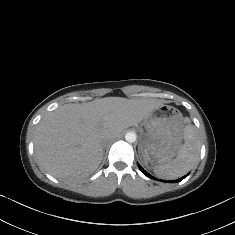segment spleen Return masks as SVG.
Listing matches in <instances>:
<instances>
[{"label": "spleen", "mask_w": 235, "mask_h": 235, "mask_svg": "<svg viewBox=\"0 0 235 235\" xmlns=\"http://www.w3.org/2000/svg\"><path fill=\"white\" fill-rule=\"evenodd\" d=\"M185 144L178 156L171 161L153 168L154 174L161 179H176L185 175L198 162L199 140L197 129L194 125L188 124L184 130Z\"/></svg>", "instance_id": "1"}]
</instances>
